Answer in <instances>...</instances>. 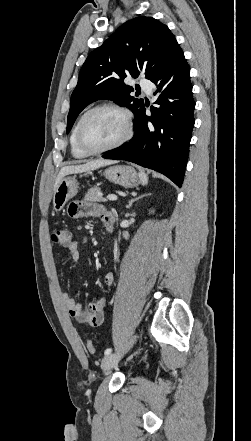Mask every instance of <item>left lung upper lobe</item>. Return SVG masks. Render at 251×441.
Wrapping results in <instances>:
<instances>
[{"label": "left lung upper lobe", "instance_id": "obj_1", "mask_svg": "<svg viewBox=\"0 0 251 441\" xmlns=\"http://www.w3.org/2000/svg\"><path fill=\"white\" fill-rule=\"evenodd\" d=\"M176 44L168 27L152 17H136L121 25L83 64L71 95L67 133L79 113L99 99L113 100L135 115L144 101L130 95L134 89L125 85L124 79L144 73L150 80Z\"/></svg>", "mask_w": 251, "mask_h": 441}]
</instances>
